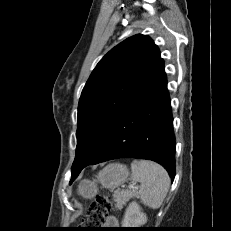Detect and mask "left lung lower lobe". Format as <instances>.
<instances>
[{
	"label": "left lung lower lobe",
	"mask_w": 231,
	"mask_h": 231,
	"mask_svg": "<svg viewBox=\"0 0 231 231\" xmlns=\"http://www.w3.org/2000/svg\"><path fill=\"white\" fill-rule=\"evenodd\" d=\"M164 61L159 59L110 122L86 163L72 171L70 183L88 165L132 157L161 164L175 176V135Z\"/></svg>",
	"instance_id": "0a47b994"
}]
</instances>
